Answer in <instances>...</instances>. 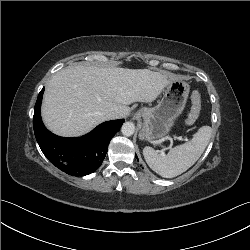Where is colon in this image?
<instances>
[{
	"instance_id": "5ec220e1",
	"label": "colon",
	"mask_w": 250,
	"mask_h": 250,
	"mask_svg": "<svg viewBox=\"0 0 250 250\" xmlns=\"http://www.w3.org/2000/svg\"><path fill=\"white\" fill-rule=\"evenodd\" d=\"M201 110V94L199 91H194L191 94V109L186 119V125H192L198 118Z\"/></svg>"
}]
</instances>
